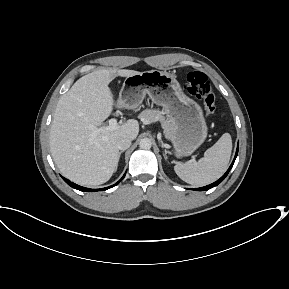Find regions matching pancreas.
Returning a JSON list of instances; mask_svg holds the SVG:
<instances>
[{
    "instance_id": "1",
    "label": "pancreas",
    "mask_w": 289,
    "mask_h": 289,
    "mask_svg": "<svg viewBox=\"0 0 289 289\" xmlns=\"http://www.w3.org/2000/svg\"><path fill=\"white\" fill-rule=\"evenodd\" d=\"M139 118L146 123L160 121L161 126L164 129L165 136L167 138H170V134L173 130L172 123L169 120L165 119V117L162 115V112L160 110H157V109L144 110L140 114Z\"/></svg>"
}]
</instances>
